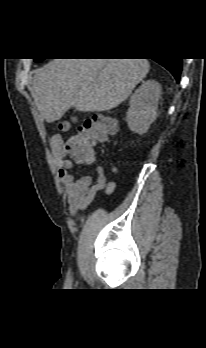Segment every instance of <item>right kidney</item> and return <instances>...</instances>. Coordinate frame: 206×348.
Listing matches in <instances>:
<instances>
[{"mask_svg": "<svg viewBox=\"0 0 206 348\" xmlns=\"http://www.w3.org/2000/svg\"><path fill=\"white\" fill-rule=\"evenodd\" d=\"M160 94L161 85L155 80H147L131 96L126 122L132 132L143 134L155 121Z\"/></svg>", "mask_w": 206, "mask_h": 348, "instance_id": "right-kidney-1", "label": "right kidney"}]
</instances>
